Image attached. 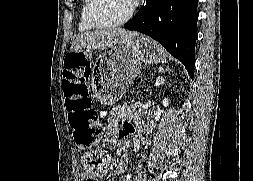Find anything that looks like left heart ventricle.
I'll list each match as a JSON object with an SVG mask.
<instances>
[{"instance_id": "1", "label": "left heart ventricle", "mask_w": 253, "mask_h": 181, "mask_svg": "<svg viewBox=\"0 0 253 181\" xmlns=\"http://www.w3.org/2000/svg\"><path fill=\"white\" fill-rule=\"evenodd\" d=\"M132 6L130 0H99L96 14L102 20L115 22L124 18Z\"/></svg>"}]
</instances>
